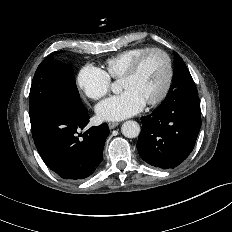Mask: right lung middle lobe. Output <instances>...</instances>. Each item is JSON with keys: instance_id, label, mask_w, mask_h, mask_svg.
<instances>
[{"instance_id": "right-lung-middle-lobe-1", "label": "right lung middle lobe", "mask_w": 232, "mask_h": 232, "mask_svg": "<svg viewBox=\"0 0 232 232\" xmlns=\"http://www.w3.org/2000/svg\"><path fill=\"white\" fill-rule=\"evenodd\" d=\"M59 51L48 55L38 66L29 94V116L32 135L37 133L47 116L59 101L83 106L71 65H63L53 60Z\"/></svg>"}]
</instances>
